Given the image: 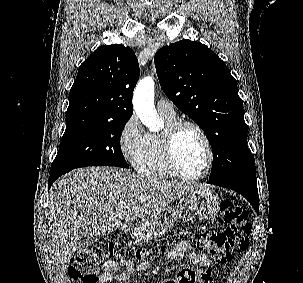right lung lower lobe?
<instances>
[{"instance_id":"right-lung-lower-lobe-1","label":"right lung lower lobe","mask_w":303,"mask_h":283,"mask_svg":"<svg viewBox=\"0 0 303 283\" xmlns=\"http://www.w3.org/2000/svg\"><path fill=\"white\" fill-rule=\"evenodd\" d=\"M69 171H54L50 172L49 181H48V189L51 187L53 182L58 179L61 175L67 173Z\"/></svg>"}]
</instances>
